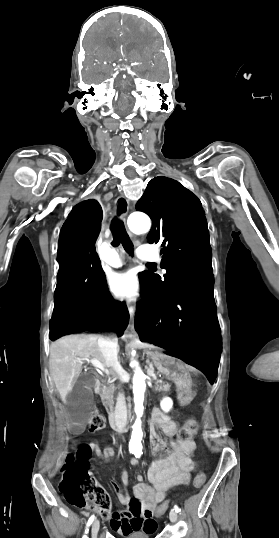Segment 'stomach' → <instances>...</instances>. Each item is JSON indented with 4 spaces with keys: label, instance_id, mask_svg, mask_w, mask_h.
<instances>
[{
    "label": "stomach",
    "instance_id": "stomach-1",
    "mask_svg": "<svg viewBox=\"0 0 279 538\" xmlns=\"http://www.w3.org/2000/svg\"><path fill=\"white\" fill-rule=\"evenodd\" d=\"M151 363L157 368L158 374H163L164 378H169L170 382H189L190 380V365L184 363L183 358H176L175 353H159L149 352ZM178 389L182 391L181 398L192 404L197 393L193 389L192 384H180Z\"/></svg>",
    "mask_w": 279,
    "mask_h": 538
}]
</instances>
